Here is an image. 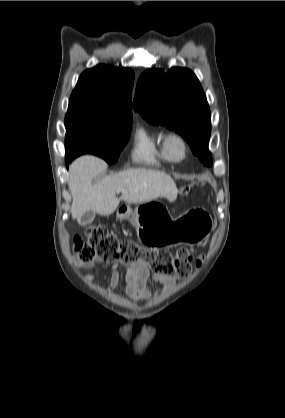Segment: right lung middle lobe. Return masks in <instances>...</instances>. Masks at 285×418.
Returning a JSON list of instances; mask_svg holds the SVG:
<instances>
[{"mask_svg": "<svg viewBox=\"0 0 285 418\" xmlns=\"http://www.w3.org/2000/svg\"><path fill=\"white\" fill-rule=\"evenodd\" d=\"M65 159L93 154L115 163L128 141L131 125L80 115H66Z\"/></svg>", "mask_w": 285, "mask_h": 418, "instance_id": "1", "label": "right lung middle lobe"}]
</instances>
